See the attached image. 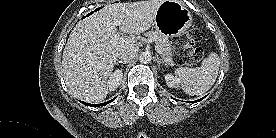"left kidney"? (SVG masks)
Masks as SVG:
<instances>
[{"mask_svg": "<svg viewBox=\"0 0 276 138\" xmlns=\"http://www.w3.org/2000/svg\"><path fill=\"white\" fill-rule=\"evenodd\" d=\"M165 80H166V84L168 85V87H170V88L179 87V82L176 78H174L173 75L166 74L165 75Z\"/></svg>", "mask_w": 276, "mask_h": 138, "instance_id": "obj_1", "label": "left kidney"}]
</instances>
